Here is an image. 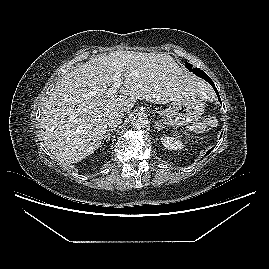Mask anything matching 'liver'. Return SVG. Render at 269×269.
<instances>
[{
	"label": "liver",
	"instance_id": "obj_1",
	"mask_svg": "<svg viewBox=\"0 0 269 269\" xmlns=\"http://www.w3.org/2000/svg\"><path fill=\"white\" fill-rule=\"evenodd\" d=\"M117 72L122 77L120 94L108 96ZM187 95L205 100L212 92L171 56L111 52L89 60L57 81L42 110L43 141L58 161L76 163L101 146L110 112H127L137 99L166 104Z\"/></svg>",
	"mask_w": 269,
	"mask_h": 269
}]
</instances>
